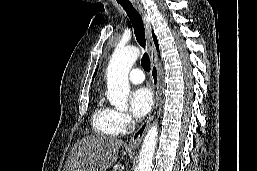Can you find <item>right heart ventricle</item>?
Instances as JSON below:
<instances>
[{
  "instance_id": "e07e8e85",
  "label": "right heart ventricle",
  "mask_w": 257,
  "mask_h": 171,
  "mask_svg": "<svg viewBox=\"0 0 257 171\" xmlns=\"http://www.w3.org/2000/svg\"><path fill=\"white\" fill-rule=\"evenodd\" d=\"M91 124L95 132L103 135L115 136L123 131L118 124L116 110L107 105L103 97L95 105Z\"/></svg>"
}]
</instances>
